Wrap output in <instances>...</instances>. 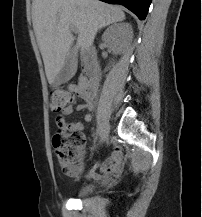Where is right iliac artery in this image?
<instances>
[{
    "label": "right iliac artery",
    "instance_id": "right-iliac-artery-1",
    "mask_svg": "<svg viewBox=\"0 0 202 217\" xmlns=\"http://www.w3.org/2000/svg\"><path fill=\"white\" fill-rule=\"evenodd\" d=\"M101 129H102V128H101L100 124H98L97 130H96V138L100 135Z\"/></svg>",
    "mask_w": 202,
    "mask_h": 217
}]
</instances>
